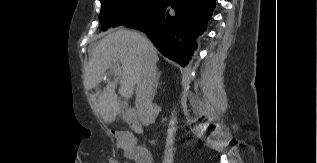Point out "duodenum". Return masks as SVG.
<instances>
[{
    "mask_svg": "<svg viewBox=\"0 0 317 163\" xmlns=\"http://www.w3.org/2000/svg\"><path fill=\"white\" fill-rule=\"evenodd\" d=\"M122 116L125 122L128 124V126L134 133H141L143 131V126H142V122L140 120L139 114L134 109H131V108L124 109ZM127 138L132 144L133 150L135 151L136 155L144 156L145 154L149 152L146 148L139 146L137 144H134L132 138L130 137H127Z\"/></svg>",
    "mask_w": 317,
    "mask_h": 163,
    "instance_id": "410a0bca",
    "label": "duodenum"
}]
</instances>
